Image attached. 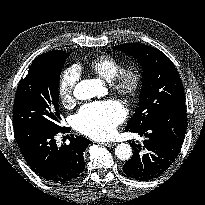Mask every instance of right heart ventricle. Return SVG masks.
Here are the masks:
<instances>
[{"mask_svg": "<svg viewBox=\"0 0 205 205\" xmlns=\"http://www.w3.org/2000/svg\"><path fill=\"white\" fill-rule=\"evenodd\" d=\"M121 68V60L111 55L97 56L89 63V69L106 81H112Z\"/></svg>", "mask_w": 205, "mask_h": 205, "instance_id": "e07e8e85", "label": "right heart ventricle"}]
</instances>
